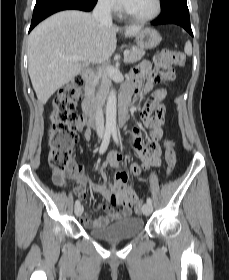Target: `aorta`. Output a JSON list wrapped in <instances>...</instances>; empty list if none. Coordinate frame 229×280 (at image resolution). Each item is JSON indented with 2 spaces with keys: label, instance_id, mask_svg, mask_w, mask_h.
<instances>
[{
  "label": "aorta",
  "instance_id": "obj_1",
  "mask_svg": "<svg viewBox=\"0 0 229 280\" xmlns=\"http://www.w3.org/2000/svg\"><path fill=\"white\" fill-rule=\"evenodd\" d=\"M116 111L117 99L116 93L112 90L108 96L106 106V128L110 131H116Z\"/></svg>",
  "mask_w": 229,
  "mask_h": 280
}]
</instances>
